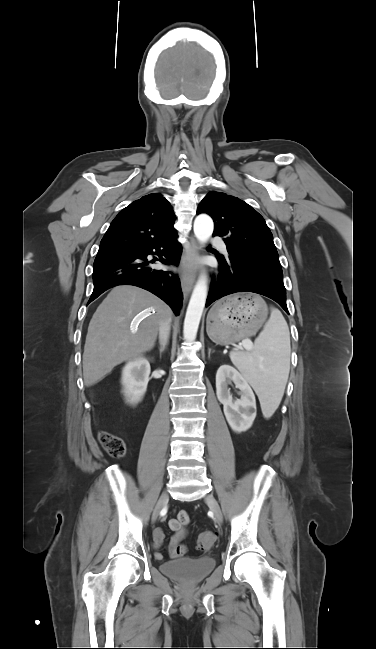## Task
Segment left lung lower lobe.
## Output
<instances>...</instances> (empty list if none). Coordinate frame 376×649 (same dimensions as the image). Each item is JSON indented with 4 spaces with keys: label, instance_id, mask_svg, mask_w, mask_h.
<instances>
[{
    "label": "left lung lower lobe",
    "instance_id": "obj_1",
    "mask_svg": "<svg viewBox=\"0 0 376 649\" xmlns=\"http://www.w3.org/2000/svg\"><path fill=\"white\" fill-rule=\"evenodd\" d=\"M227 250L228 257L217 256L220 264L217 282L211 285L206 307L236 292H253L276 301L289 314L281 267L237 254L228 245Z\"/></svg>",
    "mask_w": 376,
    "mask_h": 649
}]
</instances>
